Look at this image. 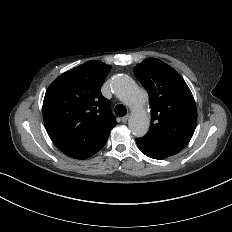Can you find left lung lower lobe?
<instances>
[{"mask_svg":"<svg viewBox=\"0 0 232 232\" xmlns=\"http://www.w3.org/2000/svg\"><path fill=\"white\" fill-rule=\"evenodd\" d=\"M136 143L142 153L153 159H165L181 151L172 145L146 136L137 138Z\"/></svg>","mask_w":232,"mask_h":232,"instance_id":"0a47b994","label":"left lung lower lobe"}]
</instances>
